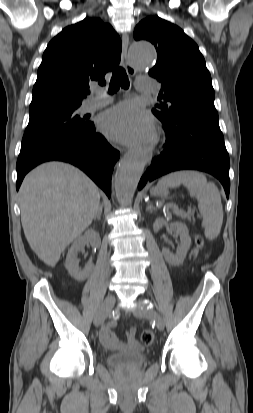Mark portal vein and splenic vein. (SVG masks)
I'll return each mask as SVG.
<instances>
[{
	"label": "portal vein and splenic vein",
	"instance_id": "18ae733b",
	"mask_svg": "<svg viewBox=\"0 0 253 413\" xmlns=\"http://www.w3.org/2000/svg\"><path fill=\"white\" fill-rule=\"evenodd\" d=\"M174 210H175V212H177L179 214L186 215L185 212H182V211L178 210V208L175 207V206H174Z\"/></svg>",
	"mask_w": 253,
	"mask_h": 413
}]
</instances>
